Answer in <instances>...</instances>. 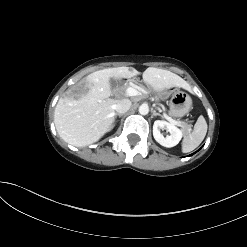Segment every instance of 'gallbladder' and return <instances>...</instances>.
Masks as SVG:
<instances>
[{
	"mask_svg": "<svg viewBox=\"0 0 247 247\" xmlns=\"http://www.w3.org/2000/svg\"><path fill=\"white\" fill-rule=\"evenodd\" d=\"M109 82H110V85L113 89H115L118 85V81L114 78H110Z\"/></svg>",
	"mask_w": 247,
	"mask_h": 247,
	"instance_id": "1",
	"label": "gallbladder"
}]
</instances>
